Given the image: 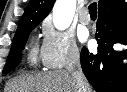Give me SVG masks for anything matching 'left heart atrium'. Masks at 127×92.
<instances>
[{
	"label": "left heart atrium",
	"instance_id": "1",
	"mask_svg": "<svg viewBox=\"0 0 127 92\" xmlns=\"http://www.w3.org/2000/svg\"><path fill=\"white\" fill-rule=\"evenodd\" d=\"M87 37L85 34L82 35V40H85Z\"/></svg>",
	"mask_w": 127,
	"mask_h": 92
}]
</instances>
